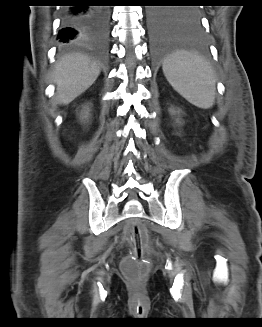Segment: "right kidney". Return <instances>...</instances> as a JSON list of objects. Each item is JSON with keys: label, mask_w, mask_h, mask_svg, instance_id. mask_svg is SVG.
I'll use <instances>...</instances> for the list:
<instances>
[{"label": "right kidney", "mask_w": 262, "mask_h": 327, "mask_svg": "<svg viewBox=\"0 0 262 327\" xmlns=\"http://www.w3.org/2000/svg\"><path fill=\"white\" fill-rule=\"evenodd\" d=\"M89 116V109L87 107H85V111L84 113L82 114V118L84 119H87Z\"/></svg>", "instance_id": "1"}]
</instances>
